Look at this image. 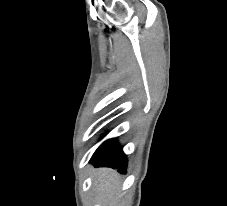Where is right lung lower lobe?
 I'll return each mask as SVG.
<instances>
[{
	"label": "right lung lower lobe",
	"mask_w": 227,
	"mask_h": 206,
	"mask_svg": "<svg viewBox=\"0 0 227 206\" xmlns=\"http://www.w3.org/2000/svg\"><path fill=\"white\" fill-rule=\"evenodd\" d=\"M91 163L95 167L107 166L125 173L127 159L115 138L105 141L94 153Z\"/></svg>",
	"instance_id": "98d812e1"
}]
</instances>
